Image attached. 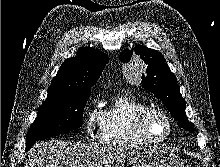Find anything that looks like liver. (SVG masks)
<instances>
[{
	"instance_id": "liver-1",
	"label": "liver",
	"mask_w": 220,
	"mask_h": 167,
	"mask_svg": "<svg viewBox=\"0 0 220 167\" xmlns=\"http://www.w3.org/2000/svg\"><path fill=\"white\" fill-rule=\"evenodd\" d=\"M129 147L106 143L39 142L28 154L25 167H111Z\"/></svg>"
}]
</instances>
